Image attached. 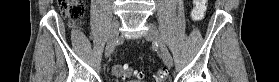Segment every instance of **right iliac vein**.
<instances>
[{
	"label": "right iliac vein",
	"instance_id": "63e3f726",
	"mask_svg": "<svg viewBox=\"0 0 279 82\" xmlns=\"http://www.w3.org/2000/svg\"><path fill=\"white\" fill-rule=\"evenodd\" d=\"M119 36V22L118 21H114L111 27V30L109 32V38L106 44V55H110L113 50L114 47L116 45V40L118 39Z\"/></svg>",
	"mask_w": 279,
	"mask_h": 82
}]
</instances>
